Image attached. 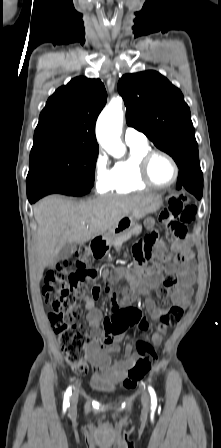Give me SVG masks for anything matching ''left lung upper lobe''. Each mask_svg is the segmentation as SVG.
Listing matches in <instances>:
<instances>
[{
	"instance_id": "5c2ea615",
	"label": "left lung upper lobe",
	"mask_w": 221,
	"mask_h": 448,
	"mask_svg": "<svg viewBox=\"0 0 221 448\" xmlns=\"http://www.w3.org/2000/svg\"><path fill=\"white\" fill-rule=\"evenodd\" d=\"M118 91L127 124L143 132L183 170L200 167L190 109L181 91L156 71L123 75Z\"/></svg>"
}]
</instances>
